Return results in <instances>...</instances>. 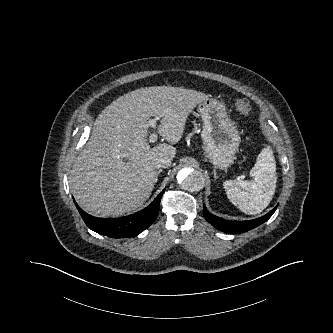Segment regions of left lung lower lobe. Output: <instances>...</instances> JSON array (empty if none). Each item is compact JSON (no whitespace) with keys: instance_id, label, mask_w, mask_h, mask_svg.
I'll use <instances>...</instances> for the list:
<instances>
[{"instance_id":"left-lung-lower-lobe-1","label":"left lung lower lobe","mask_w":333,"mask_h":333,"mask_svg":"<svg viewBox=\"0 0 333 333\" xmlns=\"http://www.w3.org/2000/svg\"><path fill=\"white\" fill-rule=\"evenodd\" d=\"M277 206L266 215L249 221H227L213 214H210L205 205H203V215L206 220L215 228L226 233H242L249 231L262 223L266 222L275 212Z\"/></svg>"}]
</instances>
